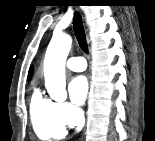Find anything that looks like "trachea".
Segmentation results:
<instances>
[{"mask_svg":"<svg viewBox=\"0 0 155 141\" xmlns=\"http://www.w3.org/2000/svg\"><path fill=\"white\" fill-rule=\"evenodd\" d=\"M73 29L80 48L83 51L88 52L86 35H85L82 18L78 13H76L74 16Z\"/></svg>","mask_w":155,"mask_h":141,"instance_id":"1","label":"trachea"}]
</instances>
